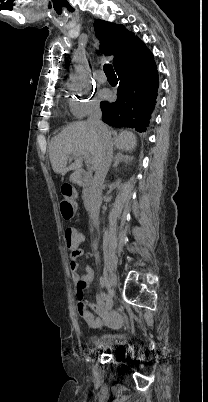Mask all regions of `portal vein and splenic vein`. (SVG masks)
Instances as JSON below:
<instances>
[{
  "label": "portal vein and splenic vein",
  "mask_w": 208,
  "mask_h": 402,
  "mask_svg": "<svg viewBox=\"0 0 208 402\" xmlns=\"http://www.w3.org/2000/svg\"><path fill=\"white\" fill-rule=\"evenodd\" d=\"M83 156L86 158L85 164H89L90 166V164H92V156H90V154H83Z\"/></svg>",
  "instance_id": "1"
}]
</instances>
